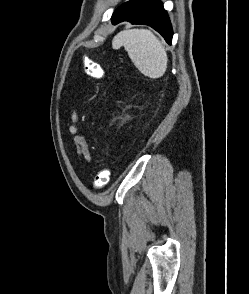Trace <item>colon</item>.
Listing matches in <instances>:
<instances>
[{
  "label": "colon",
  "instance_id": "obj_1",
  "mask_svg": "<svg viewBox=\"0 0 249 294\" xmlns=\"http://www.w3.org/2000/svg\"><path fill=\"white\" fill-rule=\"evenodd\" d=\"M83 67L86 74L89 77L96 78V79H102L104 77V74H105L104 68L100 64H97L89 60H85L83 62ZM110 177H111V170L109 168H103L96 174L93 181V187L95 189L103 188L109 183Z\"/></svg>",
  "mask_w": 249,
  "mask_h": 294
}]
</instances>
